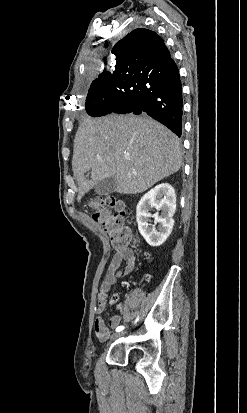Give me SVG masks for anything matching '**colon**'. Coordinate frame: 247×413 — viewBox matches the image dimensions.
Instances as JSON below:
<instances>
[{
	"label": "colon",
	"mask_w": 247,
	"mask_h": 413,
	"mask_svg": "<svg viewBox=\"0 0 247 413\" xmlns=\"http://www.w3.org/2000/svg\"><path fill=\"white\" fill-rule=\"evenodd\" d=\"M90 207L94 220L110 234L111 243L118 251L123 250L130 240H137V236L129 232L124 225L126 205L122 200L114 197L98 198L90 203Z\"/></svg>",
	"instance_id": "obj_1"
}]
</instances>
